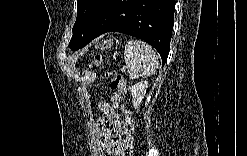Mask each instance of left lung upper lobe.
Masks as SVG:
<instances>
[{
	"label": "left lung upper lobe",
	"mask_w": 247,
	"mask_h": 156,
	"mask_svg": "<svg viewBox=\"0 0 247 156\" xmlns=\"http://www.w3.org/2000/svg\"><path fill=\"white\" fill-rule=\"evenodd\" d=\"M109 0H77V19L69 47L77 50L84 47L87 34L103 12Z\"/></svg>",
	"instance_id": "5c2ea615"
}]
</instances>
